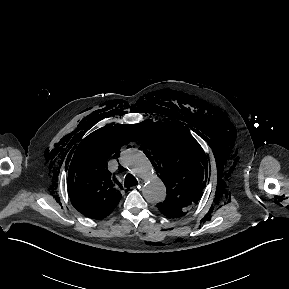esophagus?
I'll return each instance as SVG.
<instances>
[{
	"instance_id": "1",
	"label": "esophagus",
	"mask_w": 289,
	"mask_h": 289,
	"mask_svg": "<svg viewBox=\"0 0 289 289\" xmlns=\"http://www.w3.org/2000/svg\"><path fill=\"white\" fill-rule=\"evenodd\" d=\"M140 188H141V184H139V185L133 187V189H140Z\"/></svg>"
}]
</instances>
